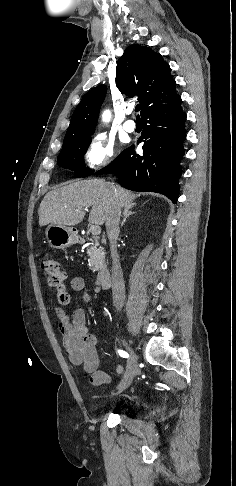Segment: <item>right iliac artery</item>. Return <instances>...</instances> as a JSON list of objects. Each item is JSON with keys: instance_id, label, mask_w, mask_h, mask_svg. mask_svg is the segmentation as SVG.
I'll return each instance as SVG.
<instances>
[{"instance_id": "1", "label": "right iliac artery", "mask_w": 236, "mask_h": 486, "mask_svg": "<svg viewBox=\"0 0 236 486\" xmlns=\"http://www.w3.org/2000/svg\"><path fill=\"white\" fill-rule=\"evenodd\" d=\"M118 353H119V355L121 357H124V358H128L129 357L128 353L126 351H124V350H118Z\"/></svg>"}]
</instances>
